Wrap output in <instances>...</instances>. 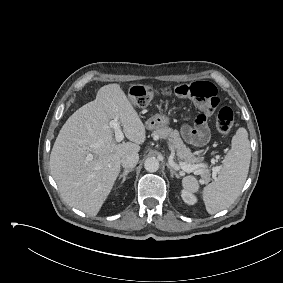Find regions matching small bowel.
Segmentation results:
<instances>
[{
    "label": "small bowel",
    "mask_w": 283,
    "mask_h": 283,
    "mask_svg": "<svg viewBox=\"0 0 283 283\" xmlns=\"http://www.w3.org/2000/svg\"><path fill=\"white\" fill-rule=\"evenodd\" d=\"M184 139L192 147L199 148L209 139V129L205 115H199L194 126L184 125L181 129Z\"/></svg>",
    "instance_id": "obj_1"
}]
</instances>
